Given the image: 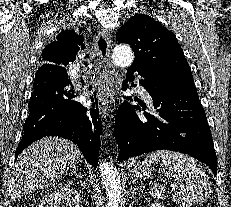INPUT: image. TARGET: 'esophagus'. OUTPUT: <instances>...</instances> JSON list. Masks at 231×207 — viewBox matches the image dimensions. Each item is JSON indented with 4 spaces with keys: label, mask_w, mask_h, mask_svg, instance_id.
Returning a JSON list of instances; mask_svg holds the SVG:
<instances>
[{
    "label": "esophagus",
    "mask_w": 231,
    "mask_h": 207,
    "mask_svg": "<svg viewBox=\"0 0 231 207\" xmlns=\"http://www.w3.org/2000/svg\"><path fill=\"white\" fill-rule=\"evenodd\" d=\"M110 38L107 30L98 33L95 39V51L98 57L100 72L101 101L106 109L110 110V105L115 95L116 74L110 58Z\"/></svg>",
    "instance_id": "1"
}]
</instances>
